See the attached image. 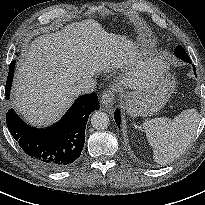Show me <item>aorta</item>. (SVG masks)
Listing matches in <instances>:
<instances>
[{
  "label": "aorta",
  "instance_id": "1",
  "mask_svg": "<svg viewBox=\"0 0 205 205\" xmlns=\"http://www.w3.org/2000/svg\"><path fill=\"white\" fill-rule=\"evenodd\" d=\"M91 125L97 130H103L109 125L107 113L96 111L91 117Z\"/></svg>",
  "mask_w": 205,
  "mask_h": 205
}]
</instances>
